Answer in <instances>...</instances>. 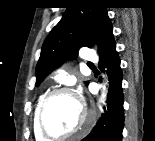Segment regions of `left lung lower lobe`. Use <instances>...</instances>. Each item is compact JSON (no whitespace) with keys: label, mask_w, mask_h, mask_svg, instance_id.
Returning <instances> with one entry per match:
<instances>
[{"label":"left lung lower lobe","mask_w":155,"mask_h":141,"mask_svg":"<svg viewBox=\"0 0 155 141\" xmlns=\"http://www.w3.org/2000/svg\"><path fill=\"white\" fill-rule=\"evenodd\" d=\"M102 65L108 70L107 110L95 128L82 141H122L124 126L122 70L113 35L108 38L102 49L99 66L102 67Z\"/></svg>","instance_id":"left-lung-lower-lobe-1"}]
</instances>
